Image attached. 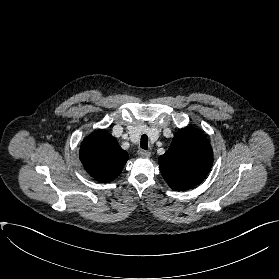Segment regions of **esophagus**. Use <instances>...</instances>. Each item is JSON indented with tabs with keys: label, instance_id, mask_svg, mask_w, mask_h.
Returning <instances> with one entry per match:
<instances>
[{
	"label": "esophagus",
	"instance_id": "esophagus-1",
	"mask_svg": "<svg viewBox=\"0 0 279 279\" xmlns=\"http://www.w3.org/2000/svg\"><path fill=\"white\" fill-rule=\"evenodd\" d=\"M138 155L140 157L148 158V157L151 156V152L141 149V150L138 151Z\"/></svg>",
	"mask_w": 279,
	"mask_h": 279
}]
</instances>
